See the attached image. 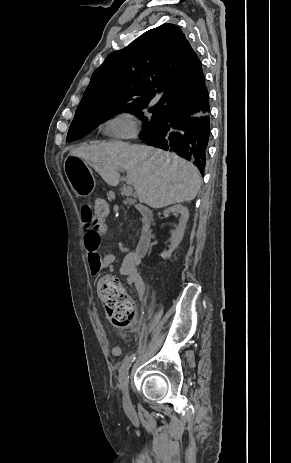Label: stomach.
Returning <instances> with one entry per match:
<instances>
[{"label": "stomach", "instance_id": "stomach-1", "mask_svg": "<svg viewBox=\"0 0 291 463\" xmlns=\"http://www.w3.org/2000/svg\"><path fill=\"white\" fill-rule=\"evenodd\" d=\"M65 171L77 196L86 197L91 194L95 179L89 162H84L81 157L69 156L65 162Z\"/></svg>", "mask_w": 291, "mask_h": 463}]
</instances>
